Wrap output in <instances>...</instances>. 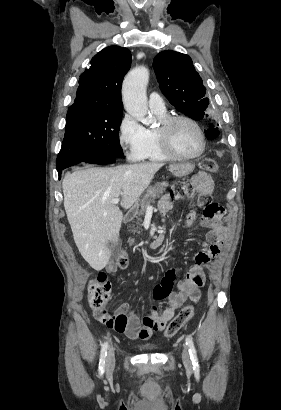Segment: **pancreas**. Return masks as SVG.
<instances>
[{"label": "pancreas", "instance_id": "cf45deb5", "mask_svg": "<svg viewBox=\"0 0 281 410\" xmlns=\"http://www.w3.org/2000/svg\"><path fill=\"white\" fill-rule=\"evenodd\" d=\"M168 184L166 182L156 183L154 186H150L146 194L143 196L139 206H137V222H141V217L144 216L146 209L150 203H155V199L160 197L166 190ZM136 232V231H134Z\"/></svg>", "mask_w": 281, "mask_h": 410}]
</instances>
